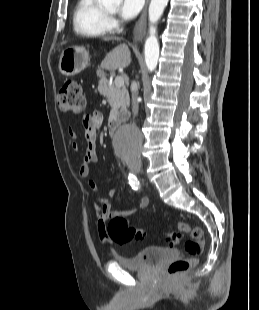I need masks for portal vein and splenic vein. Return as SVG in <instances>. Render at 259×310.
Instances as JSON below:
<instances>
[{"label":"portal vein and splenic vein","instance_id":"18ae733b","mask_svg":"<svg viewBox=\"0 0 259 310\" xmlns=\"http://www.w3.org/2000/svg\"><path fill=\"white\" fill-rule=\"evenodd\" d=\"M114 85L116 87H119V88L123 87L124 86V78L122 76L115 77Z\"/></svg>","mask_w":259,"mask_h":310}]
</instances>
